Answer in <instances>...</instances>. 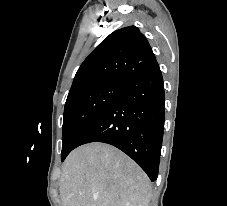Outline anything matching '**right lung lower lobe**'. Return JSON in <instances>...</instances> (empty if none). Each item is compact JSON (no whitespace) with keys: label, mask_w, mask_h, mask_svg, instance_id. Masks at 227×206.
<instances>
[{"label":"right lung lower lobe","mask_w":227,"mask_h":206,"mask_svg":"<svg viewBox=\"0 0 227 206\" xmlns=\"http://www.w3.org/2000/svg\"><path fill=\"white\" fill-rule=\"evenodd\" d=\"M164 104L163 78L156 64L126 81L123 93L82 134L76 147L90 142L111 144L155 181L164 130Z\"/></svg>","instance_id":"1"}]
</instances>
